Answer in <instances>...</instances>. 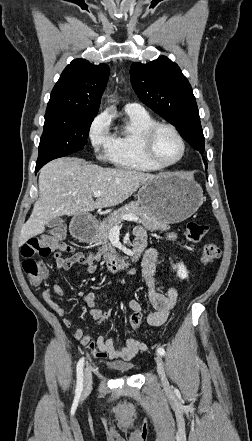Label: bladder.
<instances>
[{
  "label": "bladder",
  "mask_w": 252,
  "mask_h": 441,
  "mask_svg": "<svg viewBox=\"0 0 252 441\" xmlns=\"http://www.w3.org/2000/svg\"><path fill=\"white\" fill-rule=\"evenodd\" d=\"M110 368L119 372H129L134 368L132 363H112Z\"/></svg>",
  "instance_id": "31cf9c89"
}]
</instances>
